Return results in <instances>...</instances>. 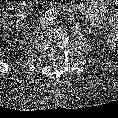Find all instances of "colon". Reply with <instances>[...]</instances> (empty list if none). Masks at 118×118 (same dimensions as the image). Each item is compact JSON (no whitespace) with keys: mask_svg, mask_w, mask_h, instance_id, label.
<instances>
[{"mask_svg":"<svg viewBox=\"0 0 118 118\" xmlns=\"http://www.w3.org/2000/svg\"><path fill=\"white\" fill-rule=\"evenodd\" d=\"M29 11V4L26 0H7L6 8L2 16V23L5 26L17 23Z\"/></svg>","mask_w":118,"mask_h":118,"instance_id":"1","label":"colon"}]
</instances>
